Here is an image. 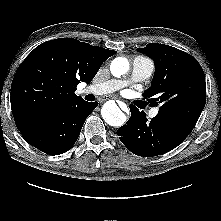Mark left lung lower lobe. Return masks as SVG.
Wrapping results in <instances>:
<instances>
[{"label": "left lung lower lobe", "instance_id": "obj_1", "mask_svg": "<svg viewBox=\"0 0 221 221\" xmlns=\"http://www.w3.org/2000/svg\"><path fill=\"white\" fill-rule=\"evenodd\" d=\"M130 111V119L118 129L117 135L136 155L151 157L164 154L187 137L159 115L148 120L145 112H140L135 106L130 105Z\"/></svg>", "mask_w": 221, "mask_h": 221}]
</instances>
